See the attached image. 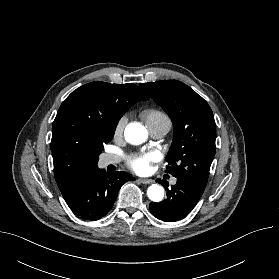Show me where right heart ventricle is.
Here are the masks:
<instances>
[{"mask_svg":"<svg viewBox=\"0 0 279 279\" xmlns=\"http://www.w3.org/2000/svg\"><path fill=\"white\" fill-rule=\"evenodd\" d=\"M140 115L149 129L159 124L170 122L168 116L164 112L156 108L144 109Z\"/></svg>","mask_w":279,"mask_h":279,"instance_id":"1","label":"right heart ventricle"}]
</instances>
